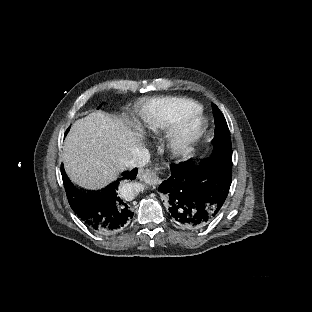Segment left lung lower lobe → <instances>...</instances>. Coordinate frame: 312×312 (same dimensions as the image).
Here are the masks:
<instances>
[{
  "mask_svg": "<svg viewBox=\"0 0 312 312\" xmlns=\"http://www.w3.org/2000/svg\"><path fill=\"white\" fill-rule=\"evenodd\" d=\"M159 190L168 198L169 219L186 229H201L219 213L232 182V152L171 164Z\"/></svg>",
  "mask_w": 312,
  "mask_h": 312,
  "instance_id": "left-lung-lower-lobe-1",
  "label": "left lung lower lobe"
}]
</instances>
